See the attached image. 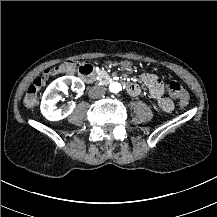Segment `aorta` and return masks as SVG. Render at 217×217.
<instances>
[{
    "mask_svg": "<svg viewBox=\"0 0 217 217\" xmlns=\"http://www.w3.org/2000/svg\"><path fill=\"white\" fill-rule=\"evenodd\" d=\"M111 89L114 93L122 91V85L120 83H115L111 86Z\"/></svg>",
    "mask_w": 217,
    "mask_h": 217,
    "instance_id": "762f6f07",
    "label": "aorta"
}]
</instances>
